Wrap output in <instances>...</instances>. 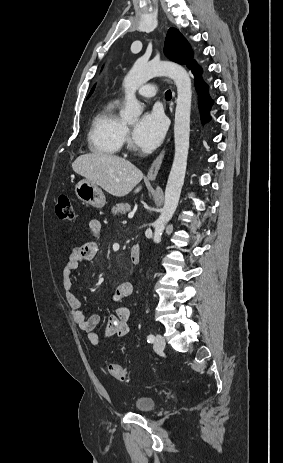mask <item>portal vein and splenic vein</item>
Instances as JSON below:
<instances>
[{"mask_svg":"<svg viewBox=\"0 0 283 463\" xmlns=\"http://www.w3.org/2000/svg\"><path fill=\"white\" fill-rule=\"evenodd\" d=\"M133 216H134V212H130V213L128 214V218H132Z\"/></svg>","mask_w":283,"mask_h":463,"instance_id":"1","label":"portal vein and splenic vein"}]
</instances>
